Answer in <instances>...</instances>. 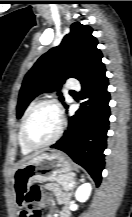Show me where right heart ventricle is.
I'll use <instances>...</instances> for the list:
<instances>
[{
    "label": "right heart ventricle",
    "mask_w": 132,
    "mask_h": 217,
    "mask_svg": "<svg viewBox=\"0 0 132 217\" xmlns=\"http://www.w3.org/2000/svg\"><path fill=\"white\" fill-rule=\"evenodd\" d=\"M34 104H35L34 102H31V103L27 106V108H26V110H25V112H24L23 118H22V122H21V125H20L19 133H18V142H19L21 151H22V153H24V154H28V153H30L32 150L29 149V148H27V147L23 144L22 139H21V128H22V124H23V122H24V120H25V118H26L28 112L30 111V109L32 108V106H33Z\"/></svg>",
    "instance_id": "e07e8e85"
}]
</instances>
